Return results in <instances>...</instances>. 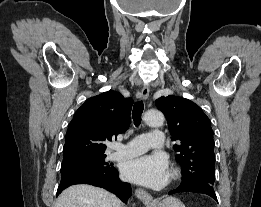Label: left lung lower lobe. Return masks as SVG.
Listing matches in <instances>:
<instances>
[{
	"mask_svg": "<svg viewBox=\"0 0 261 207\" xmlns=\"http://www.w3.org/2000/svg\"><path fill=\"white\" fill-rule=\"evenodd\" d=\"M176 193H202L209 195L217 201L213 187L205 182L182 181V183L176 189L169 191L168 194L172 195Z\"/></svg>",
	"mask_w": 261,
	"mask_h": 207,
	"instance_id": "left-lung-lower-lobe-1",
	"label": "left lung lower lobe"
}]
</instances>
